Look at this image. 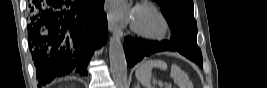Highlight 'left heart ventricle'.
Listing matches in <instances>:
<instances>
[{"label":"left heart ventricle","instance_id":"left-heart-ventricle-1","mask_svg":"<svg viewBox=\"0 0 267 88\" xmlns=\"http://www.w3.org/2000/svg\"><path fill=\"white\" fill-rule=\"evenodd\" d=\"M137 20L142 26H145V27H153L154 26V22L147 15L140 14L137 16Z\"/></svg>","mask_w":267,"mask_h":88}]
</instances>
